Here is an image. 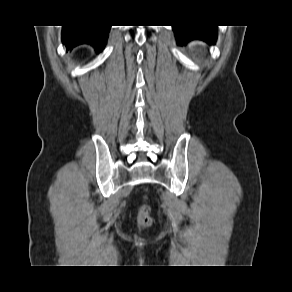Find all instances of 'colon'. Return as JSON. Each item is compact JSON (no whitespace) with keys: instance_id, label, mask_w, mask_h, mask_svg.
<instances>
[{"instance_id":"colon-1","label":"colon","mask_w":292,"mask_h":292,"mask_svg":"<svg viewBox=\"0 0 292 292\" xmlns=\"http://www.w3.org/2000/svg\"><path fill=\"white\" fill-rule=\"evenodd\" d=\"M138 225L142 228L149 227L152 224V218L150 215V207L144 203L140 206L137 217Z\"/></svg>"}]
</instances>
